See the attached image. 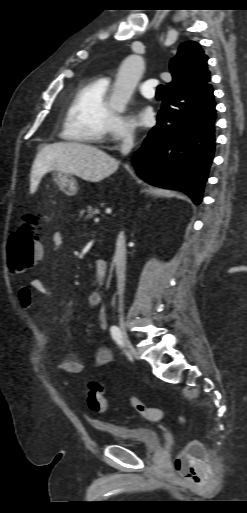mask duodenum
Segmentation results:
<instances>
[{"mask_svg":"<svg viewBox=\"0 0 247 513\" xmlns=\"http://www.w3.org/2000/svg\"><path fill=\"white\" fill-rule=\"evenodd\" d=\"M94 276L98 282L104 281L107 276V262L104 259H97L94 263Z\"/></svg>","mask_w":247,"mask_h":513,"instance_id":"obj_1","label":"duodenum"}]
</instances>
